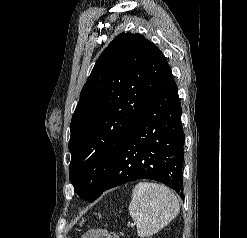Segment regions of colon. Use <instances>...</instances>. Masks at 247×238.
I'll return each mask as SVG.
<instances>
[{
  "mask_svg": "<svg viewBox=\"0 0 247 238\" xmlns=\"http://www.w3.org/2000/svg\"><path fill=\"white\" fill-rule=\"evenodd\" d=\"M81 238H119V236L105 228H95L84 233Z\"/></svg>",
  "mask_w": 247,
  "mask_h": 238,
  "instance_id": "colon-1",
  "label": "colon"
}]
</instances>
